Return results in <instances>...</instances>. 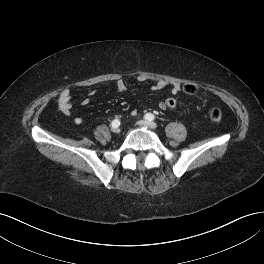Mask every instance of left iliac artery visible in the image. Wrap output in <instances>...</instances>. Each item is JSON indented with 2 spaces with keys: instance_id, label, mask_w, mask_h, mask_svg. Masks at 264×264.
<instances>
[{
  "instance_id": "obj_1",
  "label": "left iliac artery",
  "mask_w": 264,
  "mask_h": 264,
  "mask_svg": "<svg viewBox=\"0 0 264 264\" xmlns=\"http://www.w3.org/2000/svg\"><path fill=\"white\" fill-rule=\"evenodd\" d=\"M144 118L149 121H153L155 119V116L152 113H147Z\"/></svg>"
}]
</instances>
